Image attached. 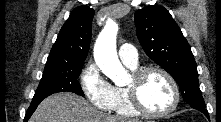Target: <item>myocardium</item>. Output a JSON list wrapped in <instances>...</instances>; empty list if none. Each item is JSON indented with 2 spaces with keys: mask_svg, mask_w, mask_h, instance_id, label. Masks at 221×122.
I'll return each mask as SVG.
<instances>
[{
  "mask_svg": "<svg viewBox=\"0 0 221 122\" xmlns=\"http://www.w3.org/2000/svg\"><path fill=\"white\" fill-rule=\"evenodd\" d=\"M152 73H158L161 74L170 84V87L172 89V94H173V100L172 104L170 105L169 108H167L164 111L156 112L148 109L144 103L141 100L140 94H139V87L143 79ZM129 99L133 107L142 115L148 116V117H165L173 113L180 102V92L179 88L177 85L176 80L173 78V76L164 70L163 68L156 67V66H150V67H145L139 70H136L133 73L131 83L126 87Z\"/></svg>",
  "mask_w": 221,
  "mask_h": 122,
  "instance_id": "myocardium-1",
  "label": "myocardium"
}]
</instances>
